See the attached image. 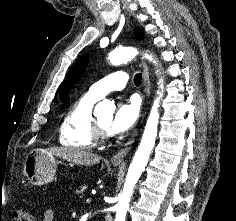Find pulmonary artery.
<instances>
[{
	"label": "pulmonary artery",
	"mask_w": 236,
	"mask_h": 221,
	"mask_svg": "<svg viewBox=\"0 0 236 221\" xmlns=\"http://www.w3.org/2000/svg\"><path fill=\"white\" fill-rule=\"evenodd\" d=\"M128 78L129 76L125 71L120 70L113 72L94 83L89 88L87 94L99 100L111 91L123 90Z\"/></svg>",
	"instance_id": "e3ab8cb5"
}]
</instances>
